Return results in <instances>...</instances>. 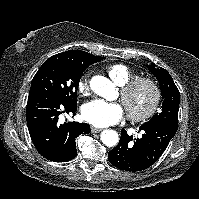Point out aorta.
I'll list each match as a JSON object with an SVG mask.
<instances>
[{"label": "aorta", "instance_id": "1", "mask_svg": "<svg viewBox=\"0 0 199 199\" xmlns=\"http://www.w3.org/2000/svg\"><path fill=\"white\" fill-rule=\"evenodd\" d=\"M91 89L101 97L112 100L115 94V85L104 76H94L90 81ZM101 141L108 147L117 145L118 133L114 130H104L100 135Z\"/></svg>", "mask_w": 199, "mask_h": 199}]
</instances>
